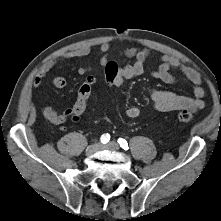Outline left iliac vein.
I'll use <instances>...</instances> for the list:
<instances>
[{
	"instance_id": "obj_1",
	"label": "left iliac vein",
	"mask_w": 221,
	"mask_h": 221,
	"mask_svg": "<svg viewBox=\"0 0 221 221\" xmlns=\"http://www.w3.org/2000/svg\"><path fill=\"white\" fill-rule=\"evenodd\" d=\"M101 148L117 151L119 150V144L117 142L112 141L109 142L108 144L102 145Z\"/></svg>"
}]
</instances>
